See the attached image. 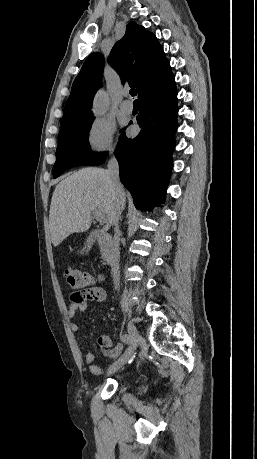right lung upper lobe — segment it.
<instances>
[{
  "label": "right lung upper lobe",
  "mask_w": 257,
  "mask_h": 459,
  "mask_svg": "<svg viewBox=\"0 0 257 459\" xmlns=\"http://www.w3.org/2000/svg\"><path fill=\"white\" fill-rule=\"evenodd\" d=\"M109 63L123 84L127 82L137 89L138 98L172 73L156 36L135 22L127 25L124 37L113 46ZM103 66L104 57L98 52L91 54L83 64L66 102L59 134L93 118L89 106L101 86Z\"/></svg>",
  "instance_id": "right-lung-upper-lobe-1"
}]
</instances>
